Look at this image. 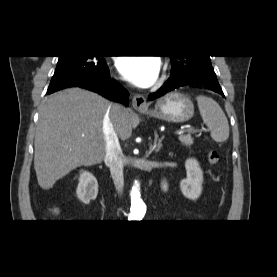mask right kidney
<instances>
[{"label": "right kidney", "mask_w": 277, "mask_h": 277, "mask_svg": "<svg viewBox=\"0 0 277 277\" xmlns=\"http://www.w3.org/2000/svg\"><path fill=\"white\" fill-rule=\"evenodd\" d=\"M77 197L84 204H89L91 200H95L98 194V182L92 173L81 171L79 183L77 186Z\"/></svg>", "instance_id": "obj_1"}]
</instances>
